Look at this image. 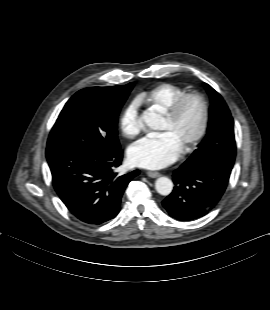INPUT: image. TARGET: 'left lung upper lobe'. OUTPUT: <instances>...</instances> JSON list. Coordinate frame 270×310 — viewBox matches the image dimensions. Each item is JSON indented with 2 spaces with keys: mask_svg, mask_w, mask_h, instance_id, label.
I'll use <instances>...</instances> for the list:
<instances>
[{
  "mask_svg": "<svg viewBox=\"0 0 270 310\" xmlns=\"http://www.w3.org/2000/svg\"><path fill=\"white\" fill-rule=\"evenodd\" d=\"M205 87L213 100L208 133L186 162L232 170L236 154L233 118L220 94L208 84Z\"/></svg>",
  "mask_w": 270,
  "mask_h": 310,
  "instance_id": "left-lung-upper-lobe-1",
  "label": "left lung upper lobe"
}]
</instances>
